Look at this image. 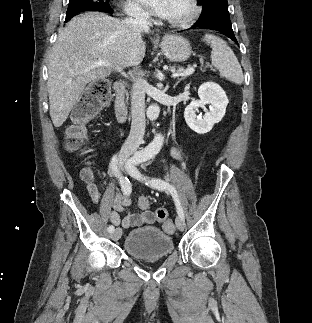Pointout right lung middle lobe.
Wrapping results in <instances>:
<instances>
[{
  "instance_id": "right-lung-middle-lobe-1",
  "label": "right lung middle lobe",
  "mask_w": 312,
  "mask_h": 323,
  "mask_svg": "<svg viewBox=\"0 0 312 323\" xmlns=\"http://www.w3.org/2000/svg\"><path fill=\"white\" fill-rule=\"evenodd\" d=\"M89 10L108 11L110 10L109 0H69L66 19Z\"/></svg>"
}]
</instances>
